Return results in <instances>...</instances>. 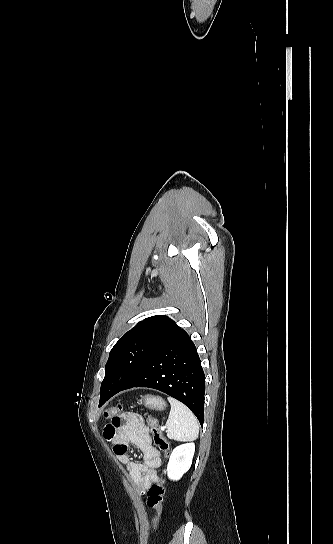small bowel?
Listing matches in <instances>:
<instances>
[{"label":"small bowel","instance_id":"small-bowel-1","mask_svg":"<svg viewBox=\"0 0 333 544\" xmlns=\"http://www.w3.org/2000/svg\"><path fill=\"white\" fill-rule=\"evenodd\" d=\"M103 435L113 444V452L141 494L157 482L156 469L161 465V456L152 445L149 429L138 416L133 413L118 415L104 427ZM129 443L141 451L142 461L132 460L128 453Z\"/></svg>","mask_w":333,"mask_h":544}]
</instances>
